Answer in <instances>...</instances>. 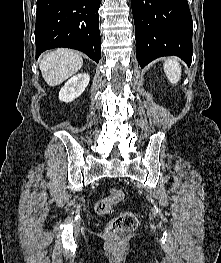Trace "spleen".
I'll return each instance as SVG.
<instances>
[{"label":"spleen","mask_w":221,"mask_h":263,"mask_svg":"<svg viewBox=\"0 0 221 263\" xmlns=\"http://www.w3.org/2000/svg\"><path fill=\"white\" fill-rule=\"evenodd\" d=\"M163 67L169 82L176 85L180 81L182 74L179 60L174 57L168 58L165 60Z\"/></svg>","instance_id":"obj_1"}]
</instances>
